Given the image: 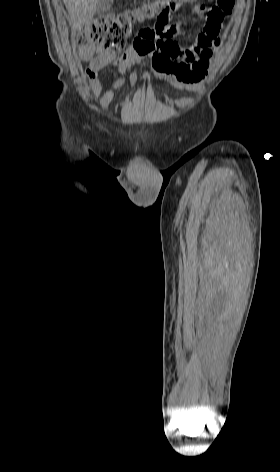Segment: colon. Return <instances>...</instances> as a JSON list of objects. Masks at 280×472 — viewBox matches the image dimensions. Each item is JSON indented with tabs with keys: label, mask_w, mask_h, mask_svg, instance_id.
Returning a JSON list of instances; mask_svg holds the SVG:
<instances>
[{
	"label": "colon",
	"mask_w": 280,
	"mask_h": 472,
	"mask_svg": "<svg viewBox=\"0 0 280 472\" xmlns=\"http://www.w3.org/2000/svg\"><path fill=\"white\" fill-rule=\"evenodd\" d=\"M183 3V0H156L143 10L146 16H157V21L165 23L170 20L173 12ZM234 0H217L208 9L206 21L209 24H220L225 16L232 12ZM135 14L127 12L120 15H108L88 22L76 36V42L81 46L101 49L112 55L118 54L126 45L130 35V25Z\"/></svg>",
	"instance_id": "1"
}]
</instances>
